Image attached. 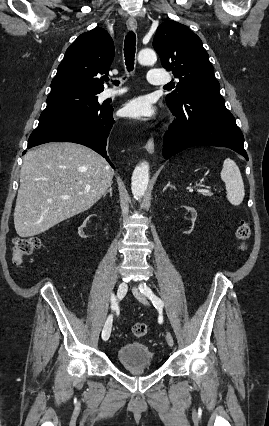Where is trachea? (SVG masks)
Returning <instances> with one entry per match:
<instances>
[{"label":"trachea","instance_id":"obj_1","mask_svg":"<svg viewBox=\"0 0 269 426\" xmlns=\"http://www.w3.org/2000/svg\"><path fill=\"white\" fill-rule=\"evenodd\" d=\"M136 46V35L134 32L130 31L124 41V56H125V64L128 71H132L134 69V58H135V48ZM108 81V77L104 79ZM115 85H118V81H114Z\"/></svg>","mask_w":269,"mask_h":426}]
</instances>
